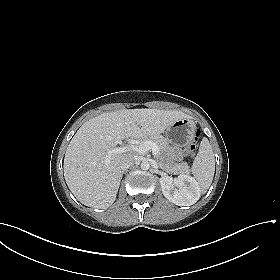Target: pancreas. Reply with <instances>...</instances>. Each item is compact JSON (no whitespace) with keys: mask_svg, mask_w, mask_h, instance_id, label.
<instances>
[{"mask_svg":"<svg viewBox=\"0 0 280 280\" xmlns=\"http://www.w3.org/2000/svg\"><path fill=\"white\" fill-rule=\"evenodd\" d=\"M148 140L156 143L161 152H164L166 150V148L168 147V142L166 141L165 138H163L160 135L152 136V137H147V136L143 137L141 139V143L148 141ZM159 165L165 171H167L169 173H174V174L189 173V171H190L189 166L186 162L172 165V164L165 163V162H163L162 159H160Z\"/></svg>","mask_w":280,"mask_h":280,"instance_id":"1","label":"pancreas"}]
</instances>
